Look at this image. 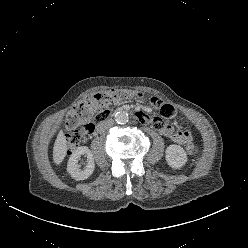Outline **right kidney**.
<instances>
[{
    "mask_svg": "<svg viewBox=\"0 0 248 248\" xmlns=\"http://www.w3.org/2000/svg\"><path fill=\"white\" fill-rule=\"evenodd\" d=\"M81 155L87 157V164L84 169H80L78 161ZM95 169L93 154L86 146L78 147L70 156L67 163V171L75 180H85L90 177Z\"/></svg>",
    "mask_w": 248,
    "mask_h": 248,
    "instance_id": "obj_1",
    "label": "right kidney"
}]
</instances>
